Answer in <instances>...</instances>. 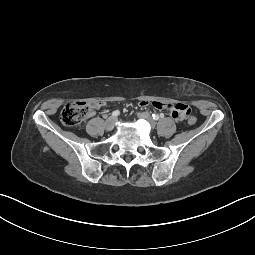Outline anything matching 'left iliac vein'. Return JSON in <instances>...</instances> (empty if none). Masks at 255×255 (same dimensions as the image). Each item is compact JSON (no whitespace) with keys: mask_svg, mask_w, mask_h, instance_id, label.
<instances>
[{"mask_svg":"<svg viewBox=\"0 0 255 255\" xmlns=\"http://www.w3.org/2000/svg\"><path fill=\"white\" fill-rule=\"evenodd\" d=\"M139 116H140V118H143V119L147 120V121L151 124L152 127L155 126V123H154V121L152 120V118H151V116H150L149 113L143 112V113H140Z\"/></svg>","mask_w":255,"mask_h":255,"instance_id":"left-iliac-vein-1","label":"left iliac vein"}]
</instances>
